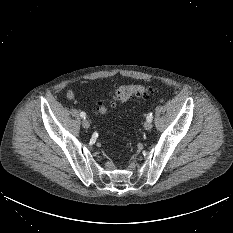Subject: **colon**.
Wrapping results in <instances>:
<instances>
[{
  "label": "colon",
  "instance_id": "obj_1",
  "mask_svg": "<svg viewBox=\"0 0 233 233\" xmlns=\"http://www.w3.org/2000/svg\"><path fill=\"white\" fill-rule=\"evenodd\" d=\"M152 92L153 90L149 86L142 84L120 85L116 88L112 101L101 99L98 102L97 111L99 114L104 115L109 111L110 107L124 103L133 96L146 97Z\"/></svg>",
  "mask_w": 233,
  "mask_h": 233
}]
</instances>
